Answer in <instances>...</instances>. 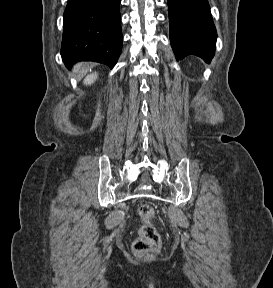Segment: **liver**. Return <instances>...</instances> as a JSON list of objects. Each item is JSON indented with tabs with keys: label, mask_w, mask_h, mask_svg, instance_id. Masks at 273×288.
I'll use <instances>...</instances> for the list:
<instances>
[{
	"label": "liver",
	"mask_w": 273,
	"mask_h": 288,
	"mask_svg": "<svg viewBox=\"0 0 273 288\" xmlns=\"http://www.w3.org/2000/svg\"><path fill=\"white\" fill-rule=\"evenodd\" d=\"M96 79H97V73L90 74V75H88V76L84 79V84L90 85V84H92Z\"/></svg>",
	"instance_id": "liver-1"
}]
</instances>
